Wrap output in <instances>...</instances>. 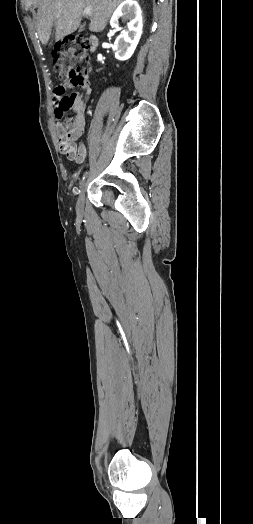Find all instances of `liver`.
Instances as JSON below:
<instances>
[{
  "mask_svg": "<svg viewBox=\"0 0 253 524\" xmlns=\"http://www.w3.org/2000/svg\"><path fill=\"white\" fill-rule=\"evenodd\" d=\"M122 2L123 0H39L36 22L39 39L47 45L53 27L56 30V41L73 33L79 27L85 7L92 9L90 31L101 32L113 11Z\"/></svg>",
  "mask_w": 253,
  "mask_h": 524,
  "instance_id": "6515ba94",
  "label": "liver"
}]
</instances>
